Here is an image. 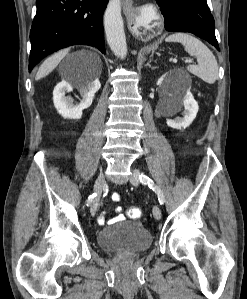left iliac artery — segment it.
Returning a JSON list of instances; mask_svg holds the SVG:
<instances>
[{
  "mask_svg": "<svg viewBox=\"0 0 247 299\" xmlns=\"http://www.w3.org/2000/svg\"><path fill=\"white\" fill-rule=\"evenodd\" d=\"M139 179L142 184L148 185L157 194L160 205H163L165 202L164 195L161 189L153 182V180L143 174L139 176Z\"/></svg>",
  "mask_w": 247,
  "mask_h": 299,
  "instance_id": "44dca946",
  "label": "left iliac artery"
}]
</instances>
